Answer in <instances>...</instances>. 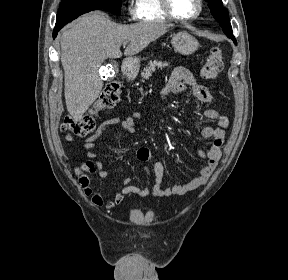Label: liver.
I'll return each mask as SVG.
<instances>
[{"mask_svg":"<svg viewBox=\"0 0 288 280\" xmlns=\"http://www.w3.org/2000/svg\"><path fill=\"white\" fill-rule=\"evenodd\" d=\"M171 25L140 22L121 25L101 11L80 17L61 34L64 93L70 115L79 121L98 98L103 81L99 68L107 58H120L121 44L128 42L125 56H134L164 35Z\"/></svg>","mask_w":288,"mask_h":280,"instance_id":"6515ba94","label":"liver"}]
</instances>
